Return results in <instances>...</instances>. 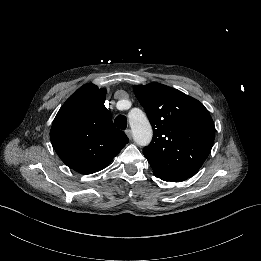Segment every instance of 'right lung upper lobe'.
Returning a JSON list of instances; mask_svg holds the SVG:
<instances>
[{
  "label": "right lung upper lobe",
  "mask_w": 261,
  "mask_h": 261,
  "mask_svg": "<svg viewBox=\"0 0 261 261\" xmlns=\"http://www.w3.org/2000/svg\"><path fill=\"white\" fill-rule=\"evenodd\" d=\"M105 96V89L83 85L63 104L51 127L55 151L69 168L82 174L105 168L129 141L114 127Z\"/></svg>",
  "instance_id": "1"
}]
</instances>
